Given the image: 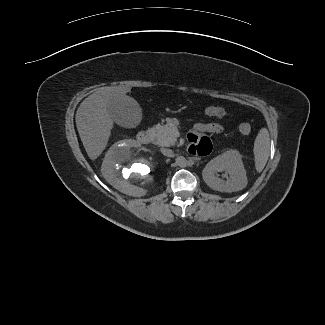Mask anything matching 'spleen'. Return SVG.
Segmentation results:
<instances>
[{"label":"spleen","mask_w":325,"mask_h":325,"mask_svg":"<svg viewBox=\"0 0 325 325\" xmlns=\"http://www.w3.org/2000/svg\"><path fill=\"white\" fill-rule=\"evenodd\" d=\"M270 152V137L266 128H261L254 141V162L257 172H262L264 169Z\"/></svg>","instance_id":"spleen-1"}]
</instances>
